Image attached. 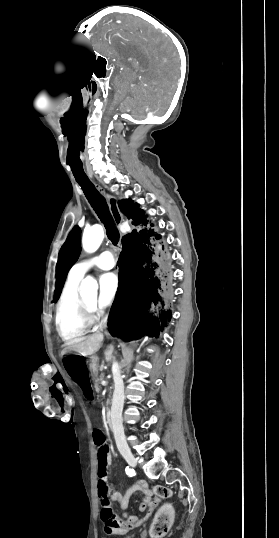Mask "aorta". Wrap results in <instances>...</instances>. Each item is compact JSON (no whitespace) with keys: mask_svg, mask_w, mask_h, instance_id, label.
I'll use <instances>...</instances> for the list:
<instances>
[{"mask_svg":"<svg viewBox=\"0 0 279 538\" xmlns=\"http://www.w3.org/2000/svg\"><path fill=\"white\" fill-rule=\"evenodd\" d=\"M104 238L103 227L99 224L92 226L83 233L82 246L88 253L95 252L101 245ZM98 284L91 276H87L81 283L80 294L84 298H95L97 296Z\"/></svg>","mask_w":279,"mask_h":538,"instance_id":"762f6f07","label":"aorta"}]
</instances>
